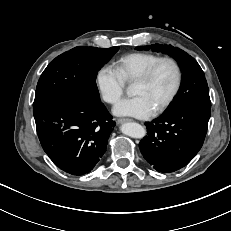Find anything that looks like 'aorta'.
Instances as JSON below:
<instances>
[{
    "label": "aorta",
    "instance_id": "1",
    "mask_svg": "<svg viewBox=\"0 0 231 231\" xmlns=\"http://www.w3.org/2000/svg\"><path fill=\"white\" fill-rule=\"evenodd\" d=\"M120 130L123 134L137 139L143 138L146 135L145 128L142 125L135 122L123 124Z\"/></svg>",
    "mask_w": 231,
    "mask_h": 231
}]
</instances>
